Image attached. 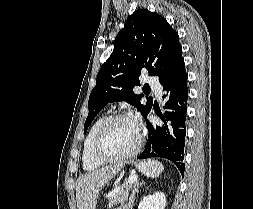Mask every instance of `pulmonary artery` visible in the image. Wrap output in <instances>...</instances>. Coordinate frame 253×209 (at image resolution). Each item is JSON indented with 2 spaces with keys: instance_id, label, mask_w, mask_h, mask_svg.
<instances>
[{
  "instance_id": "obj_1",
  "label": "pulmonary artery",
  "mask_w": 253,
  "mask_h": 209,
  "mask_svg": "<svg viewBox=\"0 0 253 209\" xmlns=\"http://www.w3.org/2000/svg\"><path fill=\"white\" fill-rule=\"evenodd\" d=\"M146 82L149 84V87L157 93H160L162 86L154 77H148Z\"/></svg>"
}]
</instances>
